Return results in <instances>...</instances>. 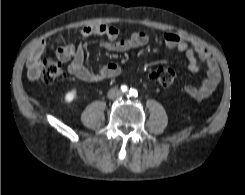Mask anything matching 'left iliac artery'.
Wrapping results in <instances>:
<instances>
[{"instance_id":"left-iliac-artery-1","label":"left iliac artery","mask_w":245,"mask_h":195,"mask_svg":"<svg viewBox=\"0 0 245 195\" xmlns=\"http://www.w3.org/2000/svg\"><path fill=\"white\" fill-rule=\"evenodd\" d=\"M130 96H137V91L135 89H130Z\"/></svg>"}]
</instances>
